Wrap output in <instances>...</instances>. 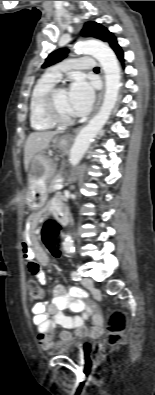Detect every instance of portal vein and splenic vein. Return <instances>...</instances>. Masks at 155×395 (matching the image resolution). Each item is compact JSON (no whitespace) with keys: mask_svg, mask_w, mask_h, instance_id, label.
I'll return each mask as SVG.
<instances>
[{"mask_svg":"<svg viewBox=\"0 0 155 395\" xmlns=\"http://www.w3.org/2000/svg\"><path fill=\"white\" fill-rule=\"evenodd\" d=\"M54 188H55L56 190L62 189V188H63L62 180H59V181L54 185Z\"/></svg>","mask_w":155,"mask_h":395,"instance_id":"1","label":"portal vein and splenic vein"}]
</instances>
